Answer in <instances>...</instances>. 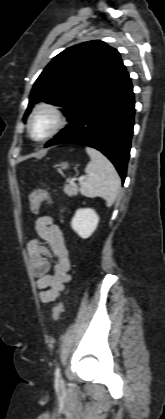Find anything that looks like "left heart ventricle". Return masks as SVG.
<instances>
[{
    "mask_svg": "<svg viewBox=\"0 0 165 419\" xmlns=\"http://www.w3.org/2000/svg\"><path fill=\"white\" fill-rule=\"evenodd\" d=\"M54 124V119L52 115L48 112L39 113L32 122V134L36 138L44 136L50 131Z\"/></svg>",
    "mask_w": 165,
    "mask_h": 419,
    "instance_id": "left-heart-ventricle-1",
    "label": "left heart ventricle"
}]
</instances>
